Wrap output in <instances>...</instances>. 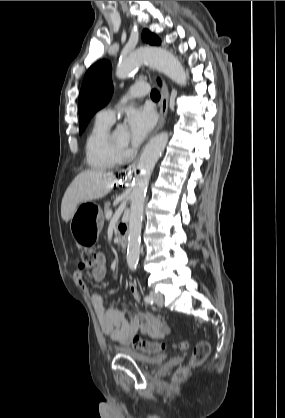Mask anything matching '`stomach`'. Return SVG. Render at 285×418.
I'll use <instances>...</instances> for the list:
<instances>
[{
	"label": "stomach",
	"mask_w": 285,
	"mask_h": 418,
	"mask_svg": "<svg viewBox=\"0 0 285 418\" xmlns=\"http://www.w3.org/2000/svg\"><path fill=\"white\" fill-rule=\"evenodd\" d=\"M81 204L70 220V231L75 241L81 245L93 243L103 226V214L100 207L94 213L86 212Z\"/></svg>",
	"instance_id": "stomach-1"
}]
</instances>
